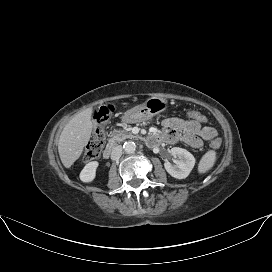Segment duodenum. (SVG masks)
Here are the masks:
<instances>
[{
    "instance_id": "obj_1",
    "label": "duodenum",
    "mask_w": 272,
    "mask_h": 272,
    "mask_svg": "<svg viewBox=\"0 0 272 272\" xmlns=\"http://www.w3.org/2000/svg\"><path fill=\"white\" fill-rule=\"evenodd\" d=\"M146 141L151 144V145H156V143L159 141L158 135L157 134H153L150 135L146 138ZM115 148V142L112 141L104 150L103 156L104 158H109V156L111 155L112 151Z\"/></svg>"
}]
</instances>
